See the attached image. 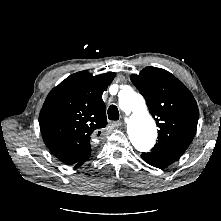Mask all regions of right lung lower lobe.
<instances>
[{"instance_id": "1", "label": "right lung lower lobe", "mask_w": 221, "mask_h": 221, "mask_svg": "<svg viewBox=\"0 0 221 221\" xmlns=\"http://www.w3.org/2000/svg\"><path fill=\"white\" fill-rule=\"evenodd\" d=\"M86 160H87V159H86ZM86 160H84V161L78 163L75 167H79V166H81Z\"/></svg>"}]
</instances>
